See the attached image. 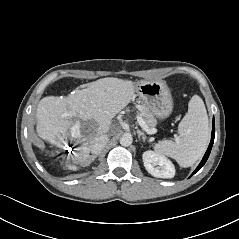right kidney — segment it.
Listing matches in <instances>:
<instances>
[{
  "mask_svg": "<svg viewBox=\"0 0 239 239\" xmlns=\"http://www.w3.org/2000/svg\"><path fill=\"white\" fill-rule=\"evenodd\" d=\"M69 168L72 169V170H75V169H76L75 166H69Z\"/></svg>",
  "mask_w": 239,
  "mask_h": 239,
  "instance_id": "1",
  "label": "right kidney"
}]
</instances>
